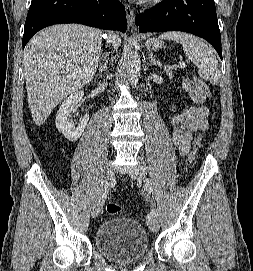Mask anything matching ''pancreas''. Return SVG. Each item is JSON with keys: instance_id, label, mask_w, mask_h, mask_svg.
Listing matches in <instances>:
<instances>
[{"instance_id": "cf45deb5", "label": "pancreas", "mask_w": 253, "mask_h": 271, "mask_svg": "<svg viewBox=\"0 0 253 271\" xmlns=\"http://www.w3.org/2000/svg\"><path fill=\"white\" fill-rule=\"evenodd\" d=\"M166 72H167V74H168L169 78H171V77H172V75H171V73H170V69H166Z\"/></svg>"}]
</instances>
